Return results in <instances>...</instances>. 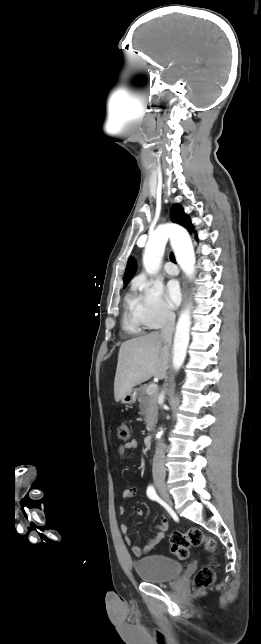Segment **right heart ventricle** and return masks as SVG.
I'll return each instance as SVG.
<instances>
[{
  "label": "right heart ventricle",
  "mask_w": 261,
  "mask_h": 644,
  "mask_svg": "<svg viewBox=\"0 0 261 644\" xmlns=\"http://www.w3.org/2000/svg\"><path fill=\"white\" fill-rule=\"evenodd\" d=\"M125 301L124 329L130 333H139L145 325L138 315L136 298L132 294H128Z\"/></svg>",
  "instance_id": "right-heart-ventricle-1"
}]
</instances>
